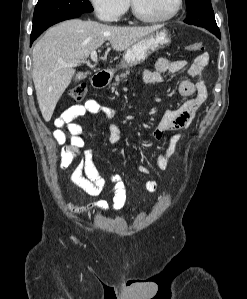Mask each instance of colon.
I'll return each instance as SVG.
<instances>
[{"mask_svg": "<svg viewBox=\"0 0 247 299\" xmlns=\"http://www.w3.org/2000/svg\"><path fill=\"white\" fill-rule=\"evenodd\" d=\"M186 50L189 52H200L203 50V44L201 42L191 43L186 46ZM86 94V86L84 84H77L69 89L68 95L74 101H80Z\"/></svg>", "mask_w": 247, "mask_h": 299, "instance_id": "colon-1", "label": "colon"}]
</instances>
